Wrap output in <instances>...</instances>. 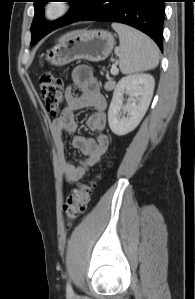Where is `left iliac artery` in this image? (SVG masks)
Instances as JSON below:
<instances>
[{
    "mask_svg": "<svg viewBox=\"0 0 195 299\" xmlns=\"http://www.w3.org/2000/svg\"><path fill=\"white\" fill-rule=\"evenodd\" d=\"M66 291L70 295L73 294V289H72V286L70 285V283H67V285H66Z\"/></svg>",
    "mask_w": 195,
    "mask_h": 299,
    "instance_id": "1",
    "label": "left iliac artery"
}]
</instances>
